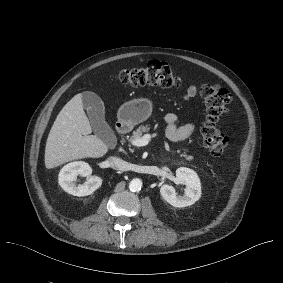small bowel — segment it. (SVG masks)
Segmentation results:
<instances>
[{
    "mask_svg": "<svg viewBox=\"0 0 283 283\" xmlns=\"http://www.w3.org/2000/svg\"><path fill=\"white\" fill-rule=\"evenodd\" d=\"M196 93V86L190 85L183 96V100H190L196 95ZM164 120L166 124V136L173 143H180L186 140L193 134L195 130V126L193 124H185L183 126H178V117L175 113H167L164 117Z\"/></svg>",
    "mask_w": 283,
    "mask_h": 283,
    "instance_id": "c3829d8e",
    "label": "small bowel"
}]
</instances>
